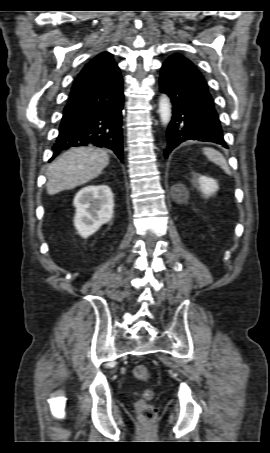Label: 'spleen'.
I'll return each mask as SVG.
<instances>
[{"label":"spleen","instance_id":"1","mask_svg":"<svg viewBox=\"0 0 270 453\" xmlns=\"http://www.w3.org/2000/svg\"><path fill=\"white\" fill-rule=\"evenodd\" d=\"M203 154L216 165L220 166L227 174H231L227 160L219 151L211 147H205L202 149Z\"/></svg>","mask_w":270,"mask_h":453}]
</instances>
